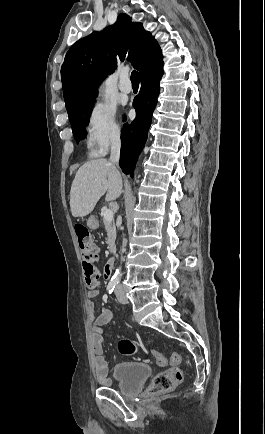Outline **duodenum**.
<instances>
[{
    "label": "duodenum",
    "mask_w": 265,
    "mask_h": 434,
    "mask_svg": "<svg viewBox=\"0 0 265 434\" xmlns=\"http://www.w3.org/2000/svg\"><path fill=\"white\" fill-rule=\"evenodd\" d=\"M115 265V261L110 259L106 262L105 266H104V277L106 279L111 278L112 274H113V268Z\"/></svg>",
    "instance_id": "410a0bca"
}]
</instances>
